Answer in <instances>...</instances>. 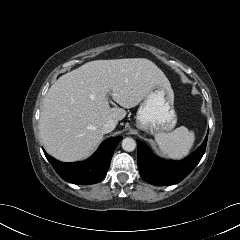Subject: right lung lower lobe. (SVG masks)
<instances>
[{
  "label": "right lung lower lobe",
  "instance_id": "obj_1",
  "mask_svg": "<svg viewBox=\"0 0 240 240\" xmlns=\"http://www.w3.org/2000/svg\"><path fill=\"white\" fill-rule=\"evenodd\" d=\"M122 138L119 136L102 142L98 150L84 162H60L43 151L47 160L62 179L78 185L95 184L105 177L114 150Z\"/></svg>",
  "mask_w": 240,
  "mask_h": 240
}]
</instances>
